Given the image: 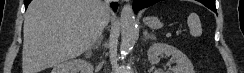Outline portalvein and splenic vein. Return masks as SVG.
<instances>
[{
	"mask_svg": "<svg viewBox=\"0 0 244 73\" xmlns=\"http://www.w3.org/2000/svg\"><path fill=\"white\" fill-rule=\"evenodd\" d=\"M171 36H172V34H171V33H169V34H168V37H171Z\"/></svg>",
	"mask_w": 244,
	"mask_h": 73,
	"instance_id": "18ae733b",
	"label": "portal vein and splenic vein"
}]
</instances>
